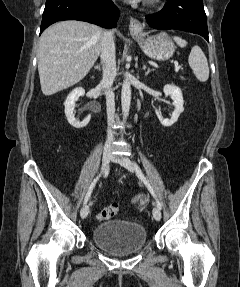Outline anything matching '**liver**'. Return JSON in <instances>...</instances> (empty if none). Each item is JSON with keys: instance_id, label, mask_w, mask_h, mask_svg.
<instances>
[{"instance_id": "liver-1", "label": "liver", "mask_w": 240, "mask_h": 287, "mask_svg": "<svg viewBox=\"0 0 240 287\" xmlns=\"http://www.w3.org/2000/svg\"><path fill=\"white\" fill-rule=\"evenodd\" d=\"M104 31L82 21H61L41 35L38 72L44 95H53L81 81L98 59Z\"/></svg>"}]
</instances>
